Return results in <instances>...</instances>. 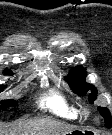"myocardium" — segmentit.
I'll use <instances>...</instances> for the list:
<instances>
[{"label":"myocardium","mask_w":112,"mask_h":135,"mask_svg":"<svg viewBox=\"0 0 112 135\" xmlns=\"http://www.w3.org/2000/svg\"><path fill=\"white\" fill-rule=\"evenodd\" d=\"M82 115L85 118H89L92 115V109L90 107H88V106L87 107H84L82 109Z\"/></svg>","instance_id":"1"}]
</instances>
